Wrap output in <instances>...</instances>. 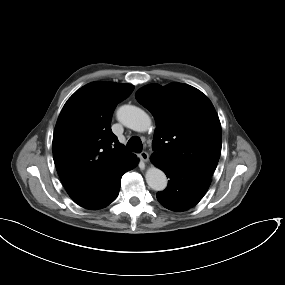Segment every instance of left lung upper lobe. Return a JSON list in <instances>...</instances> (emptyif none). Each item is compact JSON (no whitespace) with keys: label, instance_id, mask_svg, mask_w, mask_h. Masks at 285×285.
Returning a JSON list of instances; mask_svg holds the SVG:
<instances>
[{"label":"left lung upper lobe","instance_id":"5c2ea615","mask_svg":"<svg viewBox=\"0 0 285 285\" xmlns=\"http://www.w3.org/2000/svg\"><path fill=\"white\" fill-rule=\"evenodd\" d=\"M135 96L157 123L150 158L211 178L220 157L222 134L218 115L206 95L190 85L171 83L144 86Z\"/></svg>","mask_w":285,"mask_h":285}]
</instances>
